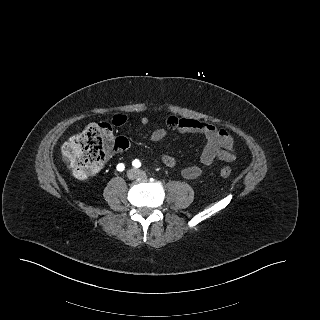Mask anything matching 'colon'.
I'll list each match as a JSON object with an SVG mask.
<instances>
[{
	"label": "colon",
	"mask_w": 320,
	"mask_h": 320,
	"mask_svg": "<svg viewBox=\"0 0 320 320\" xmlns=\"http://www.w3.org/2000/svg\"><path fill=\"white\" fill-rule=\"evenodd\" d=\"M128 140L115 137L113 127L108 122L87 125L78 135L69 138L62 147V156L74 175L80 179L94 175L105 161L107 154L116 148L125 149ZM231 169L222 166L219 174L223 178L231 176Z\"/></svg>",
	"instance_id": "colon-1"
}]
</instances>
